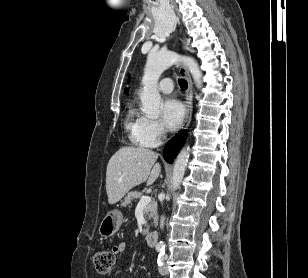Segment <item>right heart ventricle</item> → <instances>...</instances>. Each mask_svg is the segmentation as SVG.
<instances>
[{
	"instance_id": "1",
	"label": "right heart ventricle",
	"mask_w": 308,
	"mask_h": 278,
	"mask_svg": "<svg viewBox=\"0 0 308 278\" xmlns=\"http://www.w3.org/2000/svg\"><path fill=\"white\" fill-rule=\"evenodd\" d=\"M146 117L143 116L134 106L128 110L125 119V128L129 134L130 140L137 145L145 146L143 143V132Z\"/></svg>"
}]
</instances>
